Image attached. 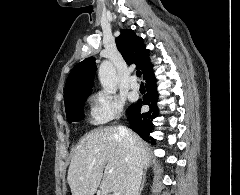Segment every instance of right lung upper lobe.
I'll return each instance as SVG.
<instances>
[{
    "mask_svg": "<svg viewBox=\"0 0 240 195\" xmlns=\"http://www.w3.org/2000/svg\"><path fill=\"white\" fill-rule=\"evenodd\" d=\"M116 45L127 64H136L143 73V79L153 76L152 64L145 49L143 39L137 37L133 30L122 29L116 38ZM96 71L95 59L89 57L78 63L70 72L64 91L65 106L80 98H87L92 91L93 78Z\"/></svg>",
    "mask_w": 240,
    "mask_h": 195,
    "instance_id": "cb5924a9",
    "label": "right lung upper lobe"
}]
</instances>
